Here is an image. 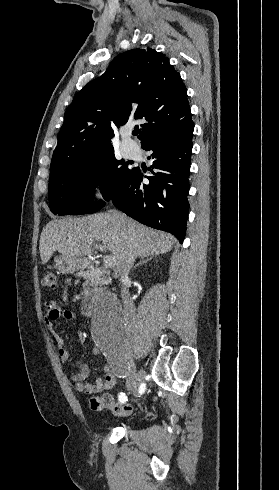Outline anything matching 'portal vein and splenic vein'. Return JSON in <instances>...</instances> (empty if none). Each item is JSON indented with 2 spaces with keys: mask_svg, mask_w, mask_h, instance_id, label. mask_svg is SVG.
Segmentation results:
<instances>
[{
  "mask_svg": "<svg viewBox=\"0 0 279 490\" xmlns=\"http://www.w3.org/2000/svg\"><path fill=\"white\" fill-rule=\"evenodd\" d=\"M116 262L112 256H109V258H105L104 260V266L105 268H114Z\"/></svg>",
  "mask_w": 279,
  "mask_h": 490,
  "instance_id": "portal-vein-and-splenic-vein-1",
  "label": "portal vein and splenic vein"
}]
</instances>
